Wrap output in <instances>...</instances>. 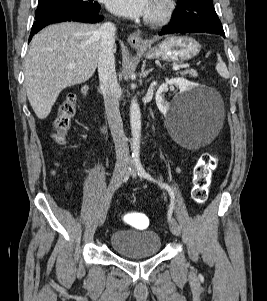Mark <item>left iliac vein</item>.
<instances>
[{"label":"left iliac vein","instance_id":"obj_1","mask_svg":"<svg viewBox=\"0 0 267 301\" xmlns=\"http://www.w3.org/2000/svg\"><path fill=\"white\" fill-rule=\"evenodd\" d=\"M131 175L134 179L137 178V172L135 169H133ZM169 228H170V231L172 232V234H174L175 236H180V234H181L180 227L173 219H169Z\"/></svg>","mask_w":267,"mask_h":301}]
</instances>
